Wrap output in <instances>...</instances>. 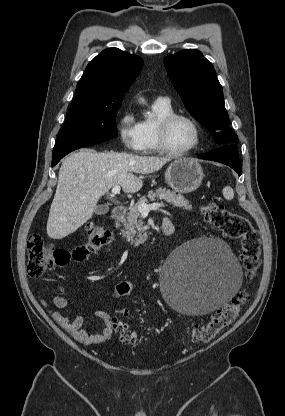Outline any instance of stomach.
Here are the masks:
<instances>
[{
  "mask_svg": "<svg viewBox=\"0 0 285 416\" xmlns=\"http://www.w3.org/2000/svg\"><path fill=\"white\" fill-rule=\"evenodd\" d=\"M203 170L193 158H178L165 172V180L178 194H189L199 188L203 180Z\"/></svg>",
  "mask_w": 285,
  "mask_h": 416,
  "instance_id": "1",
  "label": "stomach"
}]
</instances>
